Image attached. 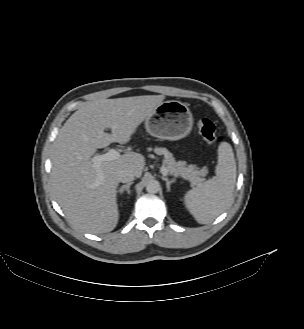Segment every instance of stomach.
Returning a JSON list of instances; mask_svg holds the SVG:
<instances>
[{"label":"stomach","mask_w":304,"mask_h":329,"mask_svg":"<svg viewBox=\"0 0 304 329\" xmlns=\"http://www.w3.org/2000/svg\"><path fill=\"white\" fill-rule=\"evenodd\" d=\"M193 127V116L188 106L180 101L162 102L146 118L147 132L156 138L178 140L187 136Z\"/></svg>","instance_id":"obj_1"}]
</instances>
